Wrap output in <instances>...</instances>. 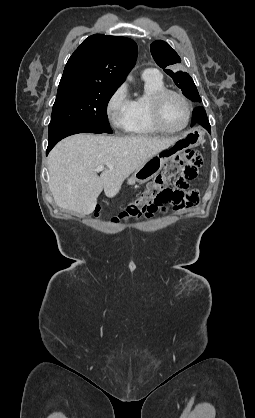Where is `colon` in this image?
Returning <instances> with one entry per match:
<instances>
[{"instance_id": "colon-1", "label": "colon", "mask_w": 255, "mask_h": 418, "mask_svg": "<svg viewBox=\"0 0 255 418\" xmlns=\"http://www.w3.org/2000/svg\"><path fill=\"white\" fill-rule=\"evenodd\" d=\"M202 162L203 157L198 150L189 151L170 161L164 172L149 183L125 211L112 219V222L119 223L142 216L151 217L158 211H164L167 205H172L175 209L196 205L199 193L190 187V182L197 178ZM172 178L175 179L176 189L166 186V182Z\"/></svg>"}]
</instances>
